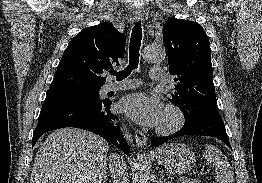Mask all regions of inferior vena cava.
I'll return each mask as SVG.
<instances>
[{
    "mask_svg": "<svg viewBox=\"0 0 262 183\" xmlns=\"http://www.w3.org/2000/svg\"><path fill=\"white\" fill-rule=\"evenodd\" d=\"M109 168L113 183H129L127 165L123 157L117 154H111L109 156Z\"/></svg>",
    "mask_w": 262,
    "mask_h": 183,
    "instance_id": "602c4592",
    "label": "inferior vena cava"
}]
</instances>
